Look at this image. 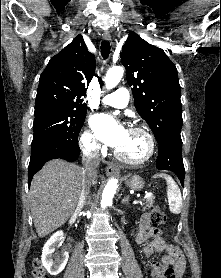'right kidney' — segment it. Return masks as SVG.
Here are the masks:
<instances>
[{"label": "right kidney", "instance_id": "right-kidney-1", "mask_svg": "<svg viewBox=\"0 0 221 278\" xmlns=\"http://www.w3.org/2000/svg\"><path fill=\"white\" fill-rule=\"evenodd\" d=\"M62 239L63 232L58 231L50 237L43 247L41 260L50 275H58L67 264L69 258L67 251L55 253L56 248L62 245Z\"/></svg>", "mask_w": 221, "mask_h": 278}]
</instances>
